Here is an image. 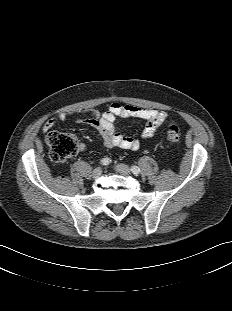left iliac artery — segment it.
Returning <instances> with one entry per match:
<instances>
[{
	"instance_id": "44dca946",
	"label": "left iliac artery",
	"mask_w": 232,
	"mask_h": 311,
	"mask_svg": "<svg viewBox=\"0 0 232 311\" xmlns=\"http://www.w3.org/2000/svg\"><path fill=\"white\" fill-rule=\"evenodd\" d=\"M131 171L133 172V174L137 175L140 173V169L137 166H132L131 167Z\"/></svg>"
}]
</instances>
